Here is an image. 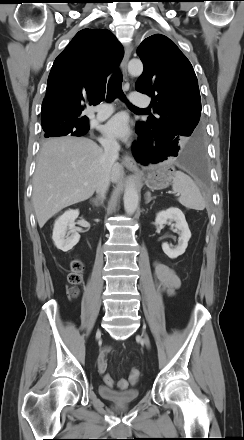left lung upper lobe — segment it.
I'll list each match as a JSON object with an SVG mask.
<instances>
[{
	"instance_id": "left-lung-upper-lobe-1",
	"label": "left lung upper lobe",
	"mask_w": 244,
	"mask_h": 440,
	"mask_svg": "<svg viewBox=\"0 0 244 440\" xmlns=\"http://www.w3.org/2000/svg\"><path fill=\"white\" fill-rule=\"evenodd\" d=\"M137 54L144 71L135 87L152 98L150 106L156 113L140 123L158 128L171 141L179 142L182 136L200 138L201 97L189 60L173 41L160 34L143 40Z\"/></svg>"
}]
</instances>
